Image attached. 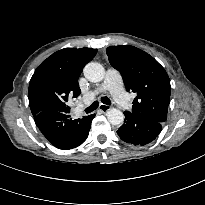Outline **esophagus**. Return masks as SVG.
Instances as JSON below:
<instances>
[{"instance_id":"esophagus-1","label":"esophagus","mask_w":205,"mask_h":205,"mask_svg":"<svg viewBox=\"0 0 205 205\" xmlns=\"http://www.w3.org/2000/svg\"><path fill=\"white\" fill-rule=\"evenodd\" d=\"M99 110L103 113L107 112L110 110V106L106 104H100L99 105Z\"/></svg>"}]
</instances>
